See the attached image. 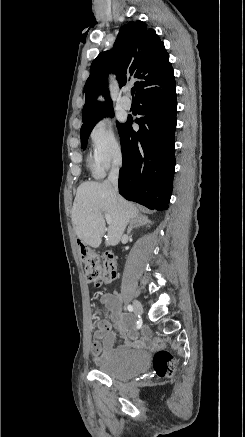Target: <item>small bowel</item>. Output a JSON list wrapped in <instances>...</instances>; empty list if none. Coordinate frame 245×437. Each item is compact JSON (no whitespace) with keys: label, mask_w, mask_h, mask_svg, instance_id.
Wrapping results in <instances>:
<instances>
[{"label":"small bowel","mask_w":245,"mask_h":437,"mask_svg":"<svg viewBox=\"0 0 245 437\" xmlns=\"http://www.w3.org/2000/svg\"><path fill=\"white\" fill-rule=\"evenodd\" d=\"M100 302L110 311L112 323L102 321L98 325L91 344V352L96 360L101 361L113 352L117 334L123 338L125 346L143 343V341L137 340L135 321L131 316L122 312L116 293L103 294ZM96 312L99 313V310Z\"/></svg>","instance_id":"1"}]
</instances>
